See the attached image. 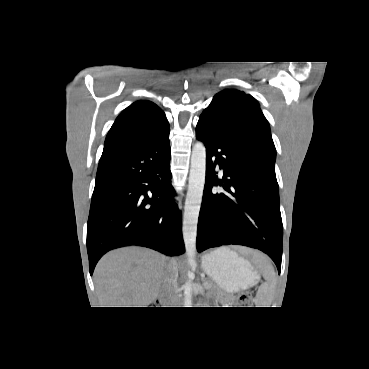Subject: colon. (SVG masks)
Masks as SVG:
<instances>
[{
	"instance_id": "obj_1",
	"label": "colon",
	"mask_w": 369,
	"mask_h": 369,
	"mask_svg": "<svg viewBox=\"0 0 369 369\" xmlns=\"http://www.w3.org/2000/svg\"><path fill=\"white\" fill-rule=\"evenodd\" d=\"M253 299H254V292L250 291L240 296L239 303L241 304V306H244V307L250 306L253 302Z\"/></svg>"
}]
</instances>
